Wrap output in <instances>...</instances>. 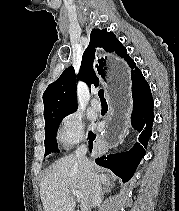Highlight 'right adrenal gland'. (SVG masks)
Instances as JSON below:
<instances>
[{
  "label": "right adrenal gland",
  "mask_w": 179,
  "mask_h": 211,
  "mask_svg": "<svg viewBox=\"0 0 179 211\" xmlns=\"http://www.w3.org/2000/svg\"><path fill=\"white\" fill-rule=\"evenodd\" d=\"M114 187V183L108 180L107 184L103 188L102 195L103 196L106 192H110V189Z\"/></svg>",
  "instance_id": "1"
}]
</instances>
